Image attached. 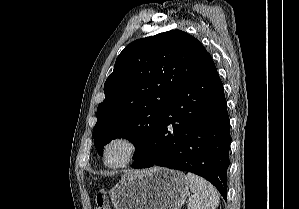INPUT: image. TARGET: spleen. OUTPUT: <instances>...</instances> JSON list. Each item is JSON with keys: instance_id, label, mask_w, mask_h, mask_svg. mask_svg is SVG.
Wrapping results in <instances>:
<instances>
[{"instance_id": "spleen-1", "label": "spleen", "mask_w": 299, "mask_h": 209, "mask_svg": "<svg viewBox=\"0 0 299 209\" xmlns=\"http://www.w3.org/2000/svg\"><path fill=\"white\" fill-rule=\"evenodd\" d=\"M186 178L193 193L188 209H216L219 205V195L214 186L193 173H187Z\"/></svg>"}]
</instances>
